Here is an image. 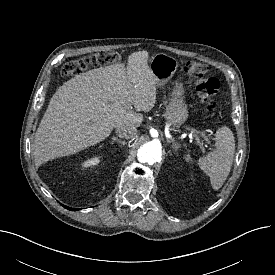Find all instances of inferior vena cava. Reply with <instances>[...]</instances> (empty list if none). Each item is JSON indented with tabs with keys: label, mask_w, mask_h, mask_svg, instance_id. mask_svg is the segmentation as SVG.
<instances>
[{
	"label": "inferior vena cava",
	"mask_w": 275,
	"mask_h": 275,
	"mask_svg": "<svg viewBox=\"0 0 275 275\" xmlns=\"http://www.w3.org/2000/svg\"><path fill=\"white\" fill-rule=\"evenodd\" d=\"M116 134L125 139L133 138L137 135V129L134 126L121 125L116 127Z\"/></svg>",
	"instance_id": "602c4592"
}]
</instances>
